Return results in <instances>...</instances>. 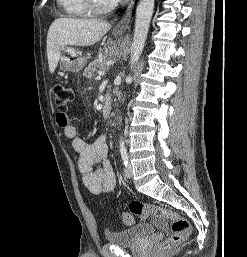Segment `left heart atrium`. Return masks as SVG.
Here are the masks:
<instances>
[{
  "label": "left heart atrium",
  "mask_w": 247,
  "mask_h": 257,
  "mask_svg": "<svg viewBox=\"0 0 247 257\" xmlns=\"http://www.w3.org/2000/svg\"><path fill=\"white\" fill-rule=\"evenodd\" d=\"M112 1L118 2V1H121V0H112Z\"/></svg>",
  "instance_id": "left-heart-atrium-1"
}]
</instances>
